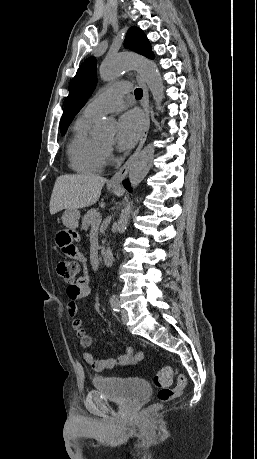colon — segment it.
Returning <instances> with one entry per match:
<instances>
[{
  "instance_id": "colon-1",
  "label": "colon",
  "mask_w": 257,
  "mask_h": 459,
  "mask_svg": "<svg viewBox=\"0 0 257 459\" xmlns=\"http://www.w3.org/2000/svg\"><path fill=\"white\" fill-rule=\"evenodd\" d=\"M57 235V234H56ZM59 246V244H58ZM81 264H69L66 260H61L57 263V274L66 282L72 283L80 272ZM173 370L170 366H163L155 375L154 384L158 390V403L150 406L145 414H154L161 405L168 403L178 397L187 385L186 378L179 375L177 384L174 388L171 387Z\"/></svg>"
}]
</instances>
